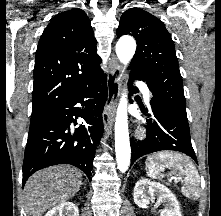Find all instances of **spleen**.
<instances>
[{"label":"spleen","mask_w":221,"mask_h":216,"mask_svg":"<svg viewBox=\"0 0 221 216\" xmlns=\"http://www.w3.org/2000/svg\"><path fill=\"white\" fill-rule=\"evenodd\" d=\"M145 165L147 175L153 179L163 178L164 175L161 171L165 168L169 169L168 175L184 179L181 191L186 197L199 196L200 177L195 165L188 157L179 153L163 151L148 156Z\"/></svg>","instance_id":"spleen-1"}]
</instances>
